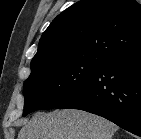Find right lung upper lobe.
<instances>
[{
    "mask_svg": "<svg viewBox=\"0 0 141 139\" xmlns=\"http://www.w3.org/2000/svg\"><path fill=\"white\" fill-rule=\"evenodd\" d=\"M141 44V5L135 0H81L42 34L31 69L83 56L109 59Z\"/></svg>",
    "mask_w": 141,
    "mask_h": 139,
    "instance_id": "1",
    "label": "right lung upper lobe"
}]
</instances>
